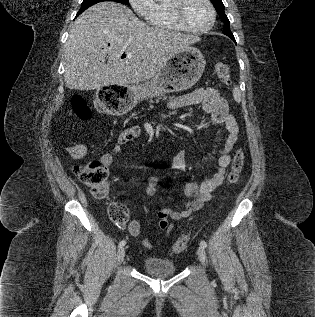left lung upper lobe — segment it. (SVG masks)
Masks as SVG:
<instances>
[{
  "mask_svg": "<svg viewBox=\"0 0 315 317\" xmlns=\"http://www.w3.org/2000/svg\"><path fill=\"white\" fill-rule=\"evenodd\" d=\"M212 2V4L214 5L217 13L219 14L221 20L224 22V29H223V33L225 35H227L228 37L233 38V34L230 30V22L227 18V16L224 13V4L222 2V0H210ZM233 40V39H232ZM235 41V38L234 40Z\"/></svg>",
  "mask_w": 315,
  "mask_h": 317,
  "instance_id": "5c2ea615",
  "label": "left lung upper lobe"
}]
</instances>
